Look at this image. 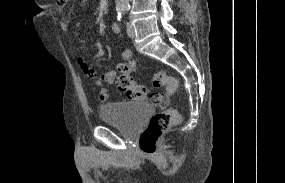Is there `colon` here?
Segmentation results:
<instances>
[{"instance_id": "5ec220e1", "label": "colon", "mask_w": 285, "mask_h": 183, "mask_svg": "<svg viewBox=\"0 0 285 183\" xmlns=\"http://www.w3.org/2000/svg\"><path fill=\"white\" fill-rule=\"evenodd\" d=\"M65 2L66 0H59ZM83 71L91 78L92 72L89 68L81 65ZM119 76L116 79V87L124 93L129 99L140 100L147 98L149 102L166 107L168 98L177 88V82L174 78L168 76L165 71H156L152 74L153 86L155 88L165 87L163 94L148 95L145 86L137 84L131 73L138 70L137 63L131 59L126 63H120L117 66ZM182 120L181 114L175 109H165L156 113L150 120L148 126L142 132L139 139V146L143 153L154 154L157 150V144L160 137L171 127L179 124Z\"/></svg>"}]
</instances>
